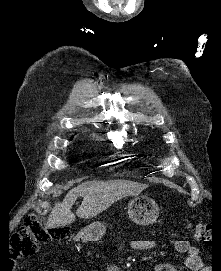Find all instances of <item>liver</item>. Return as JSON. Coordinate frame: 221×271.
<instances>
[{
  "instance_id": "6515ba94",
  "label": "liver",
  "mask_w": 221,
  "mask_h": 271,
  "mask_svg": "<svg viewBox=\"0 0 221 271\" xmlns=\"http://www.w3.org/2000/svg\"><path fill=\"white\" fill-rule=\"evenodd\" d=\"M127 183H117V181H86L71 189L65 195L63 201H56L47 221L48 227H59V225H69L78 217H95L101 211L108 209L109 205L115 203L117 199L128 195ZM78 195H82L83 201L76 209V213L71 211V207Z\"/></svg>"
}]
</instances>
